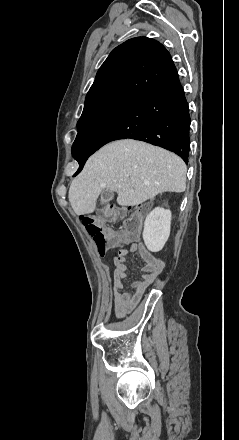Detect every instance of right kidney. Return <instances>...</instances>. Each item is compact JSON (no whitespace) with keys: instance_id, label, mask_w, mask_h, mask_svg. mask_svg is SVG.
<instances>
[{"instance_id":"right-kidney-1","label":"right kidney","mask_w":239,"mask_h":440,"mask_svg":"<svg viewBox=\"0 0 239 440\" xmlns=\"http://www.w3.org/2000/svg\"><path fill=\"white\" fill-rule=\"evenodd\" d=\"M171 212L155 208L144 222L143 240L151 253H158L170 236Z\"/></svg>"}]
</instances>
